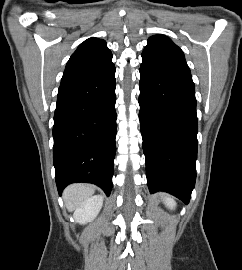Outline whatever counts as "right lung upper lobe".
Segmentation results:
<instances>
[{"label":"right lung upper lobe","mask_w":242,"mask_h":270,"mask_svg":"<svg viewBox=\"0 0 242 270\" xmlns=\"http://www.w3.org/2000/svg\"><path fill=\"white\" fill-rule=\"evenodd\" d=\"M112 60L104 40L89 38L80 44L67 62L61 85H66L100 69Z\"/></svg>","instance_id":"right-lung-upper-lobe-1"}]
</instances>
